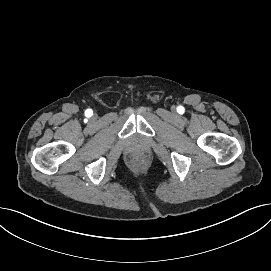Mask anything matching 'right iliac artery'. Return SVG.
Wrapping results in <instances>:
<instances>
[{"label": "right iliac artery", "mask_w": 271, "mask_h": 271, "mask_svg": "<svg viewBox=\"0 0 271 271\" xmlns=\"http://www.w3.org/2000/svg\"><path fill=\"white\" fill-rule=\"evenodd\" d=\"M87 113H89L90 115H92V110L91 109H87Z\"/></svg>", "instance_id": "1"}]
</instances>
